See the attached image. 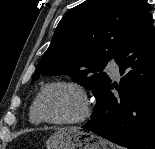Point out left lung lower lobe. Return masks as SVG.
<instances>
[{
    "mask_svg": "<svg viewBox=\"0 0 155 149\" xmlns=\"http://www.w3.org/2000/svg\"><path fill=\"white\" fill-rule=\"evenodd\" d=\"M120 68L119 96L111 82L97 98L84 126L129 149H155V28L151 14L114 58Z\"/></svg>",
    "mask_w": 155,
    "mask_h": 149,
    "instance_id": "1",
    "label": "left lung lower lobe"
}]
</instances>
